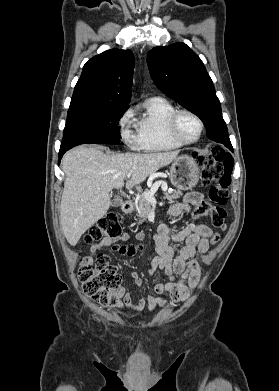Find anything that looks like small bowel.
<instances>
[{
    "mask_svg": "<svg viewBox=\"0 0 279 391\" xmlns=\"http://www.w3.org/2000/svg\"><path fill=\"white\" fill-rule=\"evenodd\" d=\"M203 194L197 191L188 193L183 202H174L169 206V213L172 216H179L188 213L191 205H199L203 201ZM210 227L204 224L190 222L184 228L174 231L173 227L161 222L158 225L157 233L154 236L156 256L152 259L148 273L153 277L157 270L163 271L169 276L167 283H155L152 292L142 296L138 302L132 301V294L126 289L120 290L122 307L134 312L152 313L156 307L164 308L167 303L160 297L163 293H169L174 302L184 301L189 296V291L194 289L200 278L199 264L192 259L196 254H204L209 250V238L213 235ZM145 234H135L137 240H142ZM130 235L123 234L122 241H127ZM184 242L180 249L177 243ZM109 245L108 241L96 242L91 247V253L95 254L103 247ZM93 263V257L84 259V265ZM132 279L136 287L141 286L142 280L138 272H132Z\"/></svg>",
    "mask_w": 279,
    "mask_h": 391,
    "instance_id": "small-bowel-1",
    "label": "small bowel"
}]
</instances>
